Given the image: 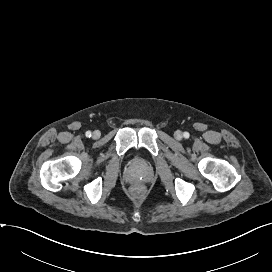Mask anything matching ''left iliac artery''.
<instances>
[{"instance_id": "obj_1", "label": "left iliac artery", "mask_w": 272, "mask_h": 272, "mask_svg": "<svg viewBox=\"0 0 272 272\" xmlns=\"http://www.w3.org/2000/svg\"><path fill=\"white\" fill-rule=\"evenodd\" d=\"M189 136H190V135H189V133H188V132H184V133H183V137H184V138H186V139H187V138H189Z\"/></svg>"}]
</instances>
